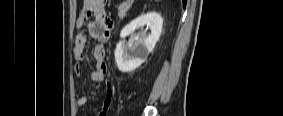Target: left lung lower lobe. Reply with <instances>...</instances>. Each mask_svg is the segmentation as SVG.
Returning a JSON list of instances; mask_svg holds the SVG:
<instances>
[{
    "label": "left lung lower lobe",
    "mask_w": 283,
    "mask_h": 116,
    "mask_svg": "<svg viewBox=\"0 0 283 116\" xmlns=\"http://www.w3.org/2000/svg\"><path fill=\"white\" fill-rule=\"evenodd\" d=\"M182 1H183L184 6H185V5H186L187 0H182Z\"/></svg>",
    "instance_id": "0a47b994"
}]
</instances>
